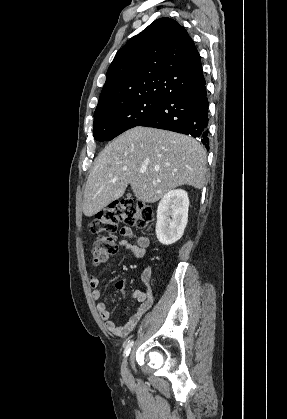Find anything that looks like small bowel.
I'll return each mask as SVG.
<instances>
[{
  "mask_svg": "<svg viewBox=\"0 0 287 419\" xmlns=\"http://www.w3.org/2000/svg\"><path fill=\"white\" fill-rule=\"evenodd\" d=\"M121 234L124 237L119 241V246L123 250L131 252L136 258H142L145 254V249L149 244V240L145 236L136 235L133 230L129 227H123L121 229ZM132 239L135 243H131L129 240ZM150 279V271L146 270L143 273V283L148 284ZM100 279L97 275H91L89 279L90 286L92 287V298L98 300L100 298V291L97 289ZM115 289L121 293H125L126 281L119 280L115 283ZM132 298L140 302V305L137 309L130 315L126 322L121 325L116 324L110 319V312L106 308V305L103 302H98L96 304V310L101 318L104 321L106 329L116 336H126L128 335L138 324L141 317L146 313V311L151 306V296L147 291L135 290L132 293Z\"/></svg>",
  "mask_w": 287,
  "mask_h": 419,
  "instance_id": "1",
  "label": "small bowel"
}]
</instances>
